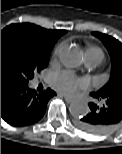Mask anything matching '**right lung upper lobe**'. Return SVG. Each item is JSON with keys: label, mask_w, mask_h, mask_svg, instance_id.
<instances>
[{"label": "right lung upper lobe", "mask_w": 122, "mask_h": 154, "mask_svg": "<svg viewBox=\"0 0 122 154\" xmlns=\"http://www.w3.org/2000/svg\"><path fill=\"white\" fill-rule=\"evenodd\" d=\"M20 26L25 33L34 42L45 48H51L56 43L57 39L66 33L65 30H50L44 29L30 23L16 24Z\"/></svg>", "instance_id": "cb5924a9"}]
</instances>
